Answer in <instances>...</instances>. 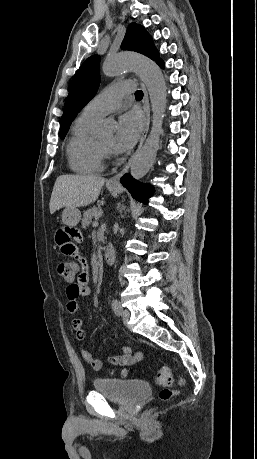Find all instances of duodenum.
I'll return each mask as SVG.
<instances>
[{"instance_id":"obj_1","label":"duodenum","mask_w":257,"mask_h":459,"mask_svg":"<svg viewBox=\"0 0 257 459\" xmlns=\"http://www.w3.org/2000/svg\"><path fill=\"white\" fill-rule=\"evenodd\" d=\"M103 260L106 264L112 265L116 260V251L113 246H109L103 253Z\"/></svg>"}]
</instances>
